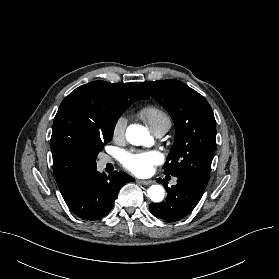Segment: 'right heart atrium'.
Masks as SVG:
<instances>
[{"label":"right heart atrium","instance_id":"d8ad5b80","mask_svg":"<svg viewBox=\"0 0 279 279\" xmlns=\"http://www.w3.org/2000/svg\"><path fill=\"white\" fill-rule=\"evenodd\" d=\"M127 127V118L124 115L118 116L112 126V137L115 140H120L125 136Z\"/></svg>","mask_w":279,"mask_h":279}]
</instances>
